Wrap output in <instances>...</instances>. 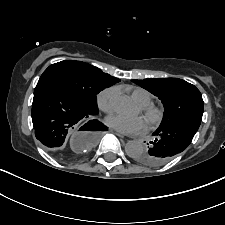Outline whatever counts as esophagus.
Here are the masks:
<instances>
[{
    "label": "esophagus",
    "instance_id": "obj_1",
    "mask_svg": "<svg viewBox=\"0 0 225 225\" xmlns=\"http://www.w3.org/2000/svg\"><path fill=\"white\" fill-rule=\"evenodd\" d=\"M114 132H116L120 137H124V135L122 133L115 131V130H114Z\"/></svg>",
    "mask_w": 225,
    "mask_h": 225
}]
</instances>
